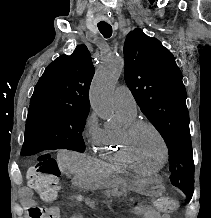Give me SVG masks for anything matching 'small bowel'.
Segmentation results:
<instances>
[{
    "label": "small bowel",
    "instance_id": "obj_1",
    "mask_svg": "<svg viewBox=\"0 0 211 218\" xmlns=\"http://www.w3.org/2000/svg\"><path fill=\"white\" fill-rule=\"evenodd\" d=\"M21 201L26 207H33L35 205L33 192L30 188L23 187L21 190ZM86 205L93 206V202H86ZM135 212L146 218H164L158 211L150 206H139L135 208ZM60 211L57 207H50L47 209V218H59Z\"/></svg>",
    "mask_w": 211,
    "mask_h": 218
}]
</instances>
